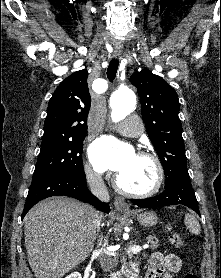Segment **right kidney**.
Listing matches in <instances>:
<instances>
[{
	"label": "right kidney",
	"mask_w": 221,
	"mask_h": 278,
	"mask_svg": "<svg viewBox=\"0 0 221 278\" xmlns=\"http://www.w3.org/2000/svg\"><path fill=\"white\" fill-rule=\"evenodd\" d=\"M65 278H82L79 272H73Z\"/></svg>",
	"instance_id": "1"
}]
</instances>
